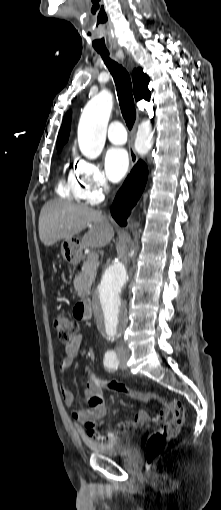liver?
Returning a JSON list of instances; mask_svg holds the SVG:
<instances>
[{"label":"liver","mask_w":221,"mask_h":510,"mask_svg":"<svg viewBox=\"0 0 221 510\" xmlns=\"http://www.w3.org/2000/svg\"><path fill=\"white\" fill-rule=\"evenodd\" d=\"M89 227L81 248H102L114 237V230L101 211L62 199L45 203L39 216V237L49 247L62 239H71Z\"/></svg>","instance_id":"1"}]
</instances>
